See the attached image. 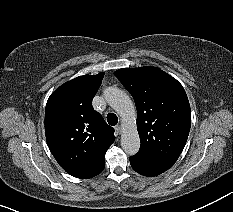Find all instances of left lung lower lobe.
Segmentation results:
<instances>
[{
    "label": "left lung lower lobe",
    "instance_id": "1",
    "mask_svg": "<svg viewBox=\"0 0 233 212\" xmlns=\"http://www.w3.org/2000/svg\"><path fill=\"white\" fill-rule=\"evenodd\" d=\"M130 164L137 173L151 177L157 176L172 167L170 164L157 161L140 153L130 157Z\"/></svg>",
    "mask_w": 233,
    "mask_h": 212
}]
</instances>
